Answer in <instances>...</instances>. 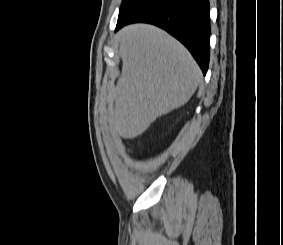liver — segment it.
I'll return each instance as SVG.
<instances>
[{"instance_id": "1", "label": "liver", "mask_w": 283, "mask_h": 245, "mask_svg": "<svg viewBox=\"0 0 283 245\" xmlns=\"http://www.w3.org/2000/svg\"><path fill=\"white\" fill-rule=\"evenodd\" d=\"M119 43L123 64L112 120L120 136L135 138L158 117L186 104L202 73L188 50L155 26L124 27Z\"/></svg>"}]
</instances>
